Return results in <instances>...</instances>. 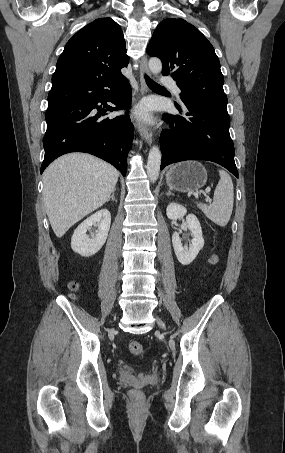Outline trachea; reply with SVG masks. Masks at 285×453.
Listing matches in <instances>:
<instances>
[{"mask_svg":"<svg viewBox=\"0 0 285 453\" xmlns=\"http://www.w3.org/2000/svg\"><path fill=\"white\" fill-rule=\"evenodd\" d=\"M146 83L150 88H161L159 84H157L155 81H153L150 77L145 75Z\"/></svg>","mask_w":285,"mask_h":453,"instance_id":"trachea-1","label":"trachea"}]
</instances>
